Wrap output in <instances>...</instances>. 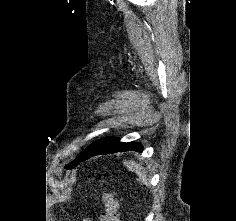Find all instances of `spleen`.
<instances>
[{
    "label": "spleen",
    "mask_w": 236,
    "mask_h": 221,
    "mask_svg": "<svg viewBox=\"0 0 236 221\" xmlns=\"http://www.w3.org/2000/svg\"><path fill=\"white\" fill-rule=\"evenodd\" d=\"M124 165L128 168V170L134 171L144 184L146 185L148 184L146 172L145 170H143V168L139 164L133 161H129V162L125 161Z\"/></svg>",
    "instance_id": "3e777b00"
}]
</instances>
